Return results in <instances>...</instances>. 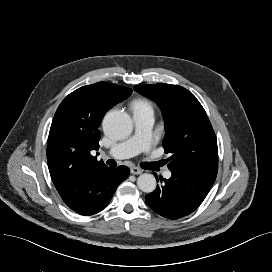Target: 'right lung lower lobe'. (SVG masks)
<instances>
[{"instance_id": "98d812e1", "label": "right lung lower lobe", "mask_w": 272, "mask_h": 272, "mask_svg": "<svg viewBox=\"0 0 272 272\" xmlns=\"http://www.w3.org/2000/svg\"><path fill=\"white\" fill-rule=\"evenodd\" d=\"M128 175L129 169L125 166L107 167L86 178L77 189L61 194V197L73 211L92 215L108 205L118 185Z\"/></svg>"}]
</instances>
